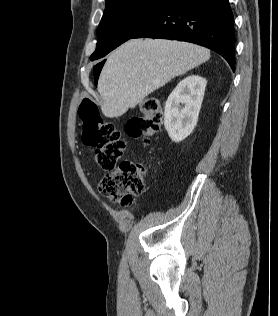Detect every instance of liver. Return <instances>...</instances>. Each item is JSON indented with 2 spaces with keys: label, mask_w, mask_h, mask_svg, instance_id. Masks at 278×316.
<instances>
[{
  "label": "liver",
  "mask_w": 278,
  "mask_h": 316,
  "mask_svg": "<svg viewBox=\"0 0 278 316\" xmlns=\"http://www.w3.org/2000/svg\"><path fill=\"white\" fill-rule=\"evenodd\" d=\"M204 47L165 39H132L107 58L98 80L106 117H119L176 76L208 61Z\"/></svg>",
  "instance_id": "obj_1"
}]
</instances>
